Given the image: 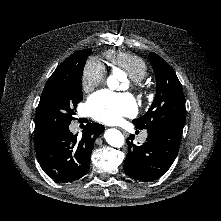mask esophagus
I'll return each instance as SVG.
<instances>
[{"instance_id":"esophagus-1","label":"esophagus","mask_w":221,"mask_h":221,"mask_svg":"<svg viewBox=\"0 0 221 221\" xmlns=\"http://www.w3.org/2000/svg\"><path fill=\"white\" fill-rule=\"evenodd\" d=\"M121 131L123 132V134H125L126 132L124 130L121 129Z\"/></svg>"}]
</instances>
